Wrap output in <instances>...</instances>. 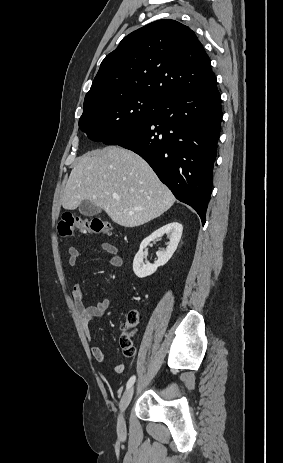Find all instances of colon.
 Wrapping results in <instances>:
<instances>
[{
	"mask_svg": "<svg viewBox=\"0 0 283 463\" xmlns=\"http://www.w3.org/2000/svg\"><path fill=\"white\" fill-rule=\"evenodd\" d=\"M58 231L61 236H71L75 231L83 234H112L113 226L100 217L81 218L65 214L59 220ZM137 323L138 313L136 311L129 312L122 323L121 347L125 357H132L135 354V346L131 336L136 330Z\"/></svg>",
	"mask_w": 283,
	"mask_h": 463,
	"instance_id": "5ec220e1",
	"label": "colon"
}]
</instances>
